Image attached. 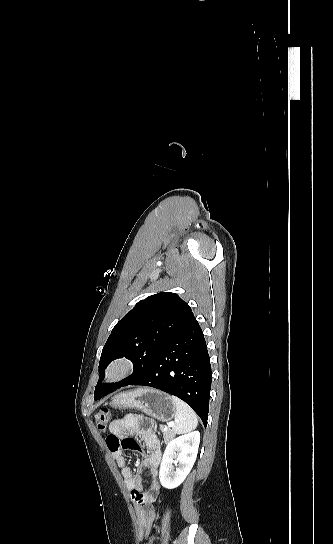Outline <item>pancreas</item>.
<instances>
[{
	"mask_svg": "<svg viewBox=\"0 0 333 544\" xmlns=\"http://www.w3.org/2000/svg\"><path fill=\"white\" fill-rule=\"evenodd\" d=\"M174 436L173 432L171 430H166V431H163V437H164V441L165 442H168L170 439H172Z\"/></svg>",
	"mask_w": 333,
	"mask_h": 544,
	"instance_id": "cf45deb5",
	"label": "pancreas"
}]
</instances>
